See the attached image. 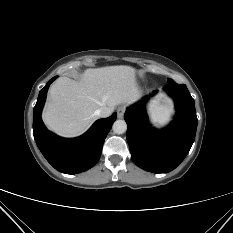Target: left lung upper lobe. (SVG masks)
I'll return each instance as SVG.
<instances>
[{"label": "left lung upper lobe", "instance_id": "obj_1", "mask_svg": "<svg viewBox=\"0 0 233 233\" xmlns=\"http://www.w3.org/2000/svg\"><path fill=\"white\" fill-rule=\"evenodd\" d=\"M171 82H173V80L172 79H168V83H171Z\"/></svg>", "mask_w": 233, "mask_h": 233}]
</instances>
